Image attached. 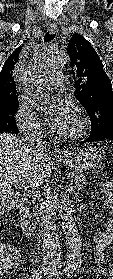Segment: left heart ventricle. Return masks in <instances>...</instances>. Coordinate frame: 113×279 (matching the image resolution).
Here are the masks:
<instances>
[{
    "label": "left heart ventricle",
    "instance_id": "b2bd125f",
    "mask_svg": "<svg viewBox=\"0 0 113 279\" xmlns=\"http://www.w3.org/2000/svg\"><path fill=\"white\" fill-rule=\"evenodd\" d=\"M77 126V114L75 111L71 108L69 113V118L67 119L66 123L63 125V127L60 130V134H66L74 131Z\"/></svg>",
    "mask_w": 113,
    "mask_h": 279
}]
</instances>
